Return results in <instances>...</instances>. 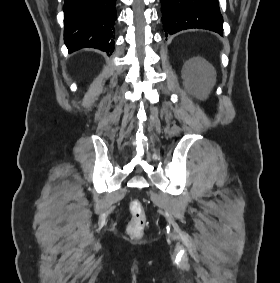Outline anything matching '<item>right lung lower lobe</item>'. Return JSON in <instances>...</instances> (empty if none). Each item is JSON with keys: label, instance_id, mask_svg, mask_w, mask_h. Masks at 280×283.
Wrapping results in <instances>:
<instances>
[{"label": "right lung lower lobe", "instance_id": "98d812e1", "mask_svg": "<svg viewBox=\"0 0 280 283\" xmlns=\"http://www.w3.org/2000/svg\"><path fill=\"white\" fill-rule=\"evenodd\" d=\"M116 0H65L64 42L69 52L81 48L114 51Z\"/></svg>", "mask_w": 280, "mask_h": 283}]
</instances>
